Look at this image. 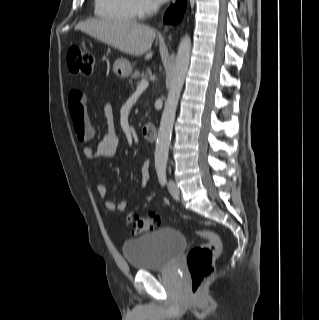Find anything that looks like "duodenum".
Here are the masks:
<instances>
[{
    "label": "duodenum",
    "mask_w": 319,
    "mask_h": 320,
    "mask_svg": "<svg viewBox=\"0 0 319 320\" xmlns=\"http://www.w3.org/2000/svg\"><path fill=\"white\" fill-rule=\"evenodd\" d=\"M142 135L150 142H154L157 139V128L152 123L144 124L142 127Z\"/></svg>",
    "instance_id": "obj_1"
}]
</instances>
